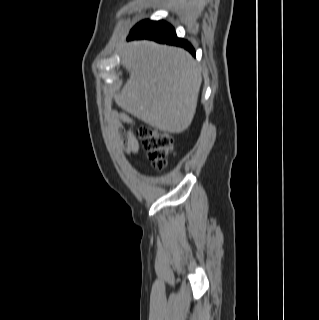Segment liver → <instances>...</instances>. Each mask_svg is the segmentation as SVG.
<instances>
[{
    "label": "liver",
    "instance_id": "6515ba94",
    "mask_svg": "<svg viewBox=\"0 0 319 320\" xmlns=\"http://www.w3.org/2000/svg\"><path fill=\"white\" fill-rule=\"evenodd\" d=\"M121 63L129 79L114 99L124 111L168 133L179 134L191 125L202 77L187 51L132 41L122 45Z\"/></svg>",
    "mask_w": 319,
    "mask_h": 320
}]
</instances>
